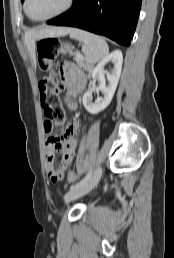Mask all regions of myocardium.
<instances>
[{"label":"myocardium","instance_id":"f54148a6","mask_svg":"<svg viewBox=\"0 0 174 258\" xmlns=\"http://www.w3.org/2000/svg\"><path fill=\"white\" fill-rule=\"evenodd\" d=\"M74 0H67L65 5L58 10L57 12L50 14L48 16L45 17H41V18H33L30 16L29 12H28V3L29 0H24V12L25 14L28 16L29 19H31L32 21H36V22H41V21H47V20H51L55 17H58L62 14H64L65 12H67L73 5Z\"/></svg>","mask_w":174,"mask_h":258}]
</instances>
